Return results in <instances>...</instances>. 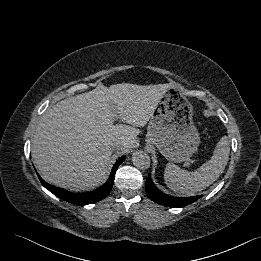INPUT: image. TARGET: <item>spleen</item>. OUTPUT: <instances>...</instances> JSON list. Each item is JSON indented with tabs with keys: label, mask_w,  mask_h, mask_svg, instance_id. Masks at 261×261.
<instances>
[{
	"label": "spleen",
	"mask_w": 261,
	"mask_h": 261,
	"mask_svg": "<svg viewBox=\"0 0 261 261\" xmlns=\"http://www.w3.org/2000/svg\"><path fill=\"white\" fill-rule=\"evenodd\" d=\"M230 153L229 140L222 137L209 161L193 172L167 164L164 171L165 184L181 195H193L210 186L225 169Z\"/></svg>",
	"instance_id": "3e777b00"
}]
</instances>
